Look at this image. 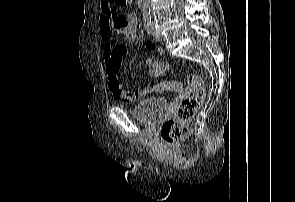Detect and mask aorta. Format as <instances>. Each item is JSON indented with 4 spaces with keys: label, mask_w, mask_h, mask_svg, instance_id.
<instances>
[{
    "label": "aorta",
    "mask_w": 295,
    "mask_h": 202,
    "mask_svg": "<svg viewBox=\"0 0 295 202\" xmlns=\"http://www.w3.org/2000/svg\"><path fill=\"white\" fill-rule=\"evenodd\" d=\"M141 3H142L143 17L149 18L151 15L150 1L149 0H141Z\"/></svg>",
    "instance_id": "obj_1"
}]
</instances>
